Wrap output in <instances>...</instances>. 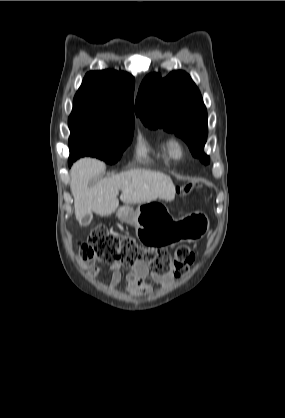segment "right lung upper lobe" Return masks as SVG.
Masks as SVG:
<instances>
[{
  "mask_svg": "<svg viewBox=\"0 0 285 418\" xmlns=\"http://www.w3.org/2000/svg\"><path fill=\"white\" fill-rule=\"evenodd\" d=\"M135 79L126 72L91 71L83 79L70 116L134 126Z\"/></svg>",
  "mask_w": 285,
  "mask_h": 418,
  "instance_id": "1",
  "label": "right lung upper lobe"
}]
</instances>
